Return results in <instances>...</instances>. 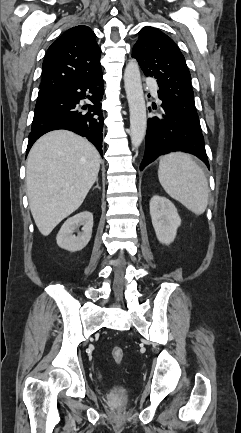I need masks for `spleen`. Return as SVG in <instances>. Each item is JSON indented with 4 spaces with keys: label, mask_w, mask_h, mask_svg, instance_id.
Returning <instances> with one entry per match:
<instances>
[{
    "label": "spleen",
    "mask_w": 241,
    "mask_h": 433,
    "mask_svg": "<svg viewBox=\"0 0 241 433\" xmlns=\"http://www.w3.org/2000/svg\"><path fill=\"white\" fill-rule=\"evenodd\" d=\"M158 178L170 197L195 215L205 212L209 197L207 178L189 154L176 152L162 156Z\"/></svg>",
    "instance_id": "obj_1"
}]
</instances>
